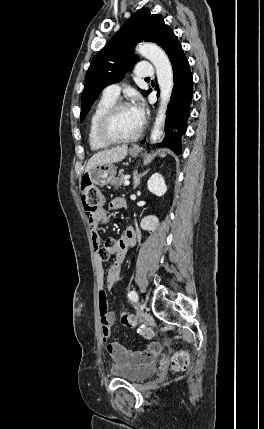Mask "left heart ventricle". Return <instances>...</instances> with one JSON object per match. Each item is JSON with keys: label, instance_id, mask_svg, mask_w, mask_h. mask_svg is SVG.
I'll use <instances>...</instances> for the list:
<instances>
[{"label": "left heart ventricle", "instance_id": "left-heart-ventricle-1", "mask_svg": "<svg viewBox=\"0 0 264 429\" xmlns=\"http://www.w3.org/2000/svg\"><path fill=\"white\" fill-rule=\"evenodd\" d=\"M141 120L135 115L132 107L120 109L109 123V132L119 138L133 135L140 127Z\"/></svg>", "mask_w": 264, "mask_h": 429}]
</instances>
